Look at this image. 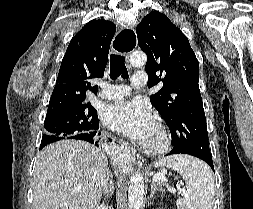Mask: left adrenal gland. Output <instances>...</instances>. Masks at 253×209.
<instances>
[{
	"label": "left adrenal gland",
	"mask_w": 253,
	"mask_h": 209,
	"mask_svg": "<svg viewBox=\"0 0 253 209\" xmlns=\"http://www.w3.org/2000/svg\"><path fill=\"white\" fill-rule=\"evenodd\" d=\"M157 190H158V188L156 187L155 183H152L151 191H150V198H152L154 196V194L156 193Z\"/></svg>",
	"instance_id": "a2214340"
}]
</instances>
